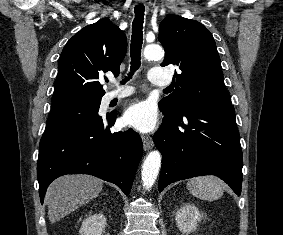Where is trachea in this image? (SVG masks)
<instances>
[{"label": "trachea", "mask_w": 283, "mask_h": 235, "mask_svg": "<svg viewBox=\"0 0 283 235\" xmlns=\"http://www.w3.org/2000/svg\"><path fill=\"white\" fill-rule=\"evenodd\" d=\"M144 5H137L134 8L135 18L132 23V39L130 47L131 55V68L128 77L121 83H126L134 74L136 70L139 69L141 65V47L143 42V21H144Z\"/></svg>", "instance_id": "1"}]
</instances>
